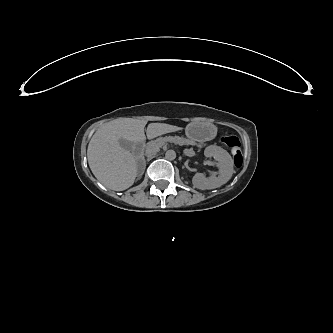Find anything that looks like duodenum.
Wrapping results in <instances>:
<instances>
[{
	"instance_id": "obj_1",
	"label": "duodenum",
	"mask_w": 333,
	"mask_h": 333,
	"mask_svg": "<svg viewBox=\"0 0 333 333\" xmlns=\"http://www.w3.org/2000/svg\"><path fill=\"white\" fill-rule=\"evenodd\" d=\"M144 145H145L144 143H141L140 148H144Z\"/></svg>"
}]
</instances>
